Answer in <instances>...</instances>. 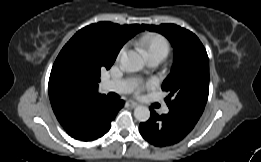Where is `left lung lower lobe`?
Wrapping results in <instances>:
<instances>
[{"instance_id":"0a47b994","label":"left lung lower lobe","mask_w":261,"mask_h":162,"mask_svg":"<svg viewBox=\"0 0 261 162\" xmlns=\"http://www.w3.org/2000/svg\"><path fill=\"white\" fill-rule=\"evenodd\" d=\"M150 111V119L139 125V131L145 140L157 147L181 141L192 131L200 118L182 108H169V113L163 115H158L153 108H150Z\"/></svg>"}]
</instances>
